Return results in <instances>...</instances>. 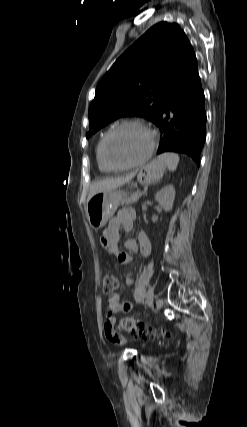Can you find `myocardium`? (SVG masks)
<instances>
[{"mask_svg": "<svg viewBox=\"0 0 247 427\" xmlns=\"http://www.w3.org/2000/svg\"><path fill=\"white\" fill-rule=\"evenodd\" d=\"M129 126H135V127H139L144 129L145 131H147L151 137V142H150V146L146 152V154L140 158L139 160L130 163V164H126V165H114L113 163H111V161L108 158L107 155V145L108 142L110 140V138L119 130L125 128V127H129ZM158 143V133L157 131L151 127L149 124L139 121V120H126L123 121L117 125H115L113 128H111L106 135L103 138L102 141V145H101V157L102 160L104 162V164L111 170V171H123V170H127V169H131L137 166H140L144 163H146L153 155L154 150L157 146Z\"/></svg>", "mask_w": 247, "mask_h": 427, "instance_id": "obj_1", "label": "myocardium"}]
</instances>
